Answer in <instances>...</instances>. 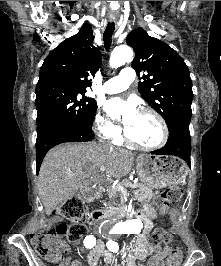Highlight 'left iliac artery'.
I'll use <instances>...</instances> for the list:
<instances>
[{
  "label": "left iliac artery",
  "mask_w": 221,
  "mask_h": 266,
  "mask_svg": "<svg viewBox=\"0 0 221 266\" xmlns=\"http://www.w3.org/2000/svg\"><path fill=\"white\" fill-rule=\"evenodd\" d=\"M106 246L107 248L112 251V252H117L119 250V246H118V243L115 242V241H112V240H109L107 243H106Z\"/></svg>",
  "instance_id": "left-iliac-artery-1"
}]
</instances>
